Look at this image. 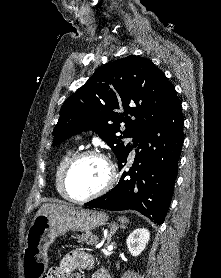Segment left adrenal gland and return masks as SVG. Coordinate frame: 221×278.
I'll return each mask as SVG.
<instances>
[{
	"label": "left adrenal gland",
	"instance_id": "a2214340",
	"mask_svg": "<svg viewBox=\"0 0 221 278\" xmlns=\"http://www.w3.org/2000/svg\"><path fill=\"white\" fill-rule=\"evenodd\" d=\"M120 227H123V228H124V226H120ZM118 229H119L118 225H116V224L111 225L109 234H108V236H107V242H106V244H105L106 246L109 245L112 236L117 232Z\"/></svg>",
	"mask_w": 221,
	"mask_h": 278
}]
</instances>
